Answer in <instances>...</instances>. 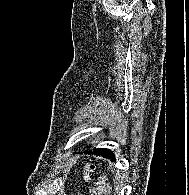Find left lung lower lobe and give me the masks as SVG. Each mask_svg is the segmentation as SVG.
<instances>
[{"instance_id":"left-lung-lower-lobe-1","label":"left lung lower lobe","mask_w":189,"mask_h":195,"mask_svg":"<svg viewBox=\"0 0 189 195\" xmlns=\"http://www.w3.org/2000/svg\"><path fill=\"white\" fill-rule=\"evenodd\" d=\"M84 153L86 154H95V155H101L104 158H108L111 160H115L113 152H111L109 149H104V148H98V149H93V151H85Z\"/></svg>"}]
</instances>
